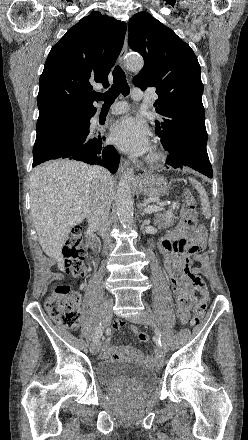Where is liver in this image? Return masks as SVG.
<instances>
[{
	"label": "liver",
	"mask_w": 248,
	"mask_h": 440,
	"mask_svg": "<svg viewBox=\"0 0 248 440\" xmlns=\"http://www.w3.org/2000/svg\"><path fill=\"white\" fill-rule=\"evenodd\" d=\"M93 168L78 161H49L36 167L30 177L31 216L38 241L61 271L62 249L68 235L87 217L100 187L92 174ZM108 192L112 200L113 181Z\"/></svg>",
	"instance_id": "6515ba94"
}]
</instances>
